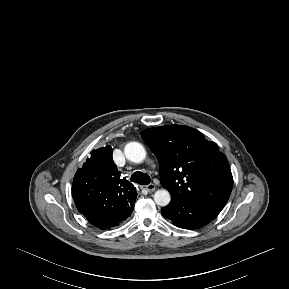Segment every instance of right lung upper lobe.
Wrapping results in <instances>:
<instances>
[{"label": "right lung upper lobe", "mask_w": 289, "mask_h": 289, "mask_svg": "<svg viewBox=\"0 0 289 289\" xmlns=\"http://www.w3.org/2000/svg\"><path fill=\"white\" fill-rule=\"evenodd\" d=\"M112 153L109 145L93 150L74 176L72 196L83 215L108 214L136 200V188L120 178L121 172L113 162Z\"/></svg>", "instance_id": "obj_1"}]
</instances>
